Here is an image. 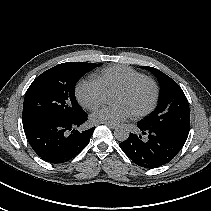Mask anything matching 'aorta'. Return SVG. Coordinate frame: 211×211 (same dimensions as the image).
Instances as JSON below:
<instances>
[{
	"label": "aorta",
	"mask_w": 211,
	"mask_h": 211,
	"mask_svg": "<svg viewBox=\"0 0 211 211\" xmlns=\"http://www.w3.org/2000/svg\"><path fill=\"white\" fill-rule=\"evenodd\" d=\"M114 137L118 141H125L129 137V130L124 126L117 127L114 131Z\"/></svg>",
	"instance_id": "aorta-1"
}]
</instances>
